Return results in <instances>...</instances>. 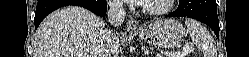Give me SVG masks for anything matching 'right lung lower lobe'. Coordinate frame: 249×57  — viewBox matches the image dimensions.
<instances>
[{
    "label": "right lung lower lobe",
    "mask_w": 249,
    "mask_h": 57,
    "mask_svg": "<svg viewBox=\"0 0 249 57\" xmlns=\"http://www.w3.org/2000/svg\"><path fill=\"white\" fill-rule=\"evenodd\" d=\"M68 5L87 8L100 17H105L107 11L106 0H38L34 23L35 28L52 11Z\"/></svg>",
    "instance_id": "98d812e1"
}]
</instances>
